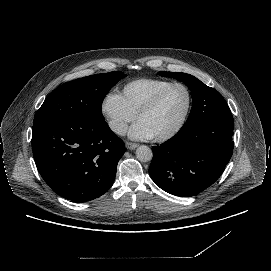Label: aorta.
I'll return each instance as SVG.
<instances>
[{"label": "aorta", "mask_w": 271, "mask_h": 271, "mask_svg": "<svg viewBox=\"0 0 271 271\" xmlns=\"http://www.w3.org/2000/svg\"><path fill=\"white\" fill-rule=\"evenodd\" d=\"M136 157L141 162H150L153 158V152L148 146H140L136 150Z\"/></svg>", "instance_id": "obj_1"}]
</instances>
